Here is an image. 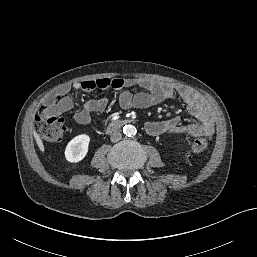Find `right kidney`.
<instances>
[{
  "label": "right kidney",
  "mask_w": 257,
  "mask_h": 257,
  "mask_svg": "<svg viewBox=\"0 0 257 257\" xmlns=\"http://www.w3.org/2000/svg\"><path fill=\"white\" fill-rule=\"evenodd\" d=\"M89 141L90 137L86 134L74 137L66 146V160L72 163L81 161L88 152Z\"/></svg>",
  "instance_id": "obj_1"
}]
</instances>
